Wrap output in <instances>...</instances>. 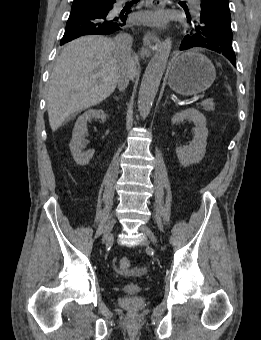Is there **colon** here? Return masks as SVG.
<instances>
[{
    "label": "colon",
    "instance_id": "1",
    "mask_svg": "<svg viewBox=\"0 0 261 340\" xmlns=\"http://www.w3.org/2000/svg\"><path fill=\"white\" fill-rule=\"evenodd\" d=\"M130 260L127 257H121L114 261L113 267L117 272H126L130 268Z\"/></svg>",
    "mask_w": 261,
    "mask_h": 340
}]
</instances>
